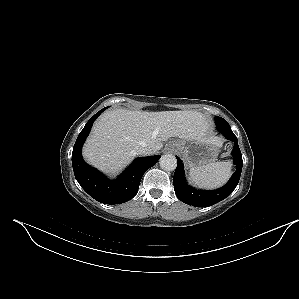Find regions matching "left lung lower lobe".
Listing matches in <instances>:
<instances>
[{
    "instance_id": "obj_1",
    "label": "left lung lower lobe",
    "mask_w": 299,
    "mask_h": 299,
    "mask_svg": "<svg viewBox=\"0 0 299 299\" xmlns=\"http://www.w3.org/2000/svg\"><path fill=\"white\" fill-rule=\"evenodd\" d=\"M215 122L218 130L222 132L228 140L234 142V148L231 154L233 155V162L237 166V170L232 175L228 183L223 187L211 191L197 190L186 183L183 164L181 160L176 157L178 164L173 177L175 193L182 202L194 207H208L228 197L236 188L242 171L243 161L237 137L234 135L230 125L225 120L215 119Z\"/></svg>"
}]
</instances>
